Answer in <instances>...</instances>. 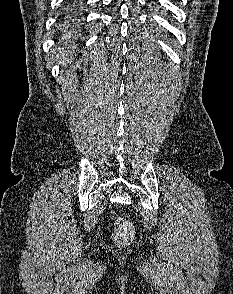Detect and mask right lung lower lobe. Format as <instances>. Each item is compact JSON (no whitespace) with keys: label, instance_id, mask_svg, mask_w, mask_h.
Listing matches in <instances>:
<instances>
[{"label":"right lung lower lobe","instance_id":"obj_1","mask_svg":"<svg viewBox=\"0 0 233 294\" xmlns=\"http://www.w3.org/2000/svg\"><path fill=\"white\" fill-rule=\"evenodd\" d=\"M78 16V9L75 0H67V6L64 13L65 27L63 29V35L71 36L75 32V22Z\"/></svg>","mask_w":233,"mask_h":294}]
</instances>
